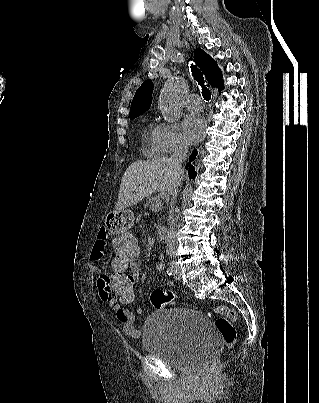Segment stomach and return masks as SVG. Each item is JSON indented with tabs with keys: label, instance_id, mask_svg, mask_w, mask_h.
Listing matches in <instances>:
<instances>
[{
	"label": "stomach",
	"instance_id": "1",
	"mask_svg": "<svg viewBox=\"0 0 319 403\" xmlns=\"http://www.w3.org/2000/svg\"><path fill=\"white\" fill-rule=\"evenodd\" d=\"M106 227L111 234H130L134 228V216L129 210H115L106 216Z\"/></svg>",
	"mask_w": 319,
	"mask_h": 403
}]
</instances>
